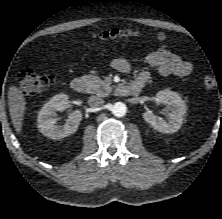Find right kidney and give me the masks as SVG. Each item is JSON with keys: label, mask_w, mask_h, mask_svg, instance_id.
<instances>
[{"label": "right kidney", "mask_w": 222, "mask_h": 219, "mask_svg": "<svg viewBox=\"0 0 222 219\" xmlns=\"http://www.w3.org/2000/svg\"><path fill=\"white\" fill-rule=\"evenodd\" d=\"M67 104L68 96L66 94H58L44 104L38 112V128L44 136L51 139H62L77 131L82 120V113L79 110L72 112L64 125H56L57 119L54 116L57 112L65 110Z\"/></svg>", "instance_id": "1"}]
</instances>
